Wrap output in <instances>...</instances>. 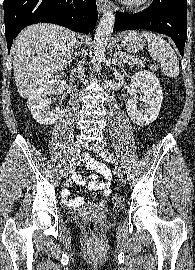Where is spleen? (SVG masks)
Wrapping results in <instances>:
<instances>
[{"instance_id":"spleen-1","label":"spleen","mask_w":195,"mask_h":270,"mask_svg":"<svg viewBox=\"0 0 195 270\" xmlns=\"http://www.w3.org/2000/svg\"><path fill=\"white\" fill-rule=\"evenodd\" d=\"M141 34L148 42L151 57L161 64L162 73L176 78L179 75V63L170 44L152 32L143 31Z\"/></svg>"}]
</instances>
